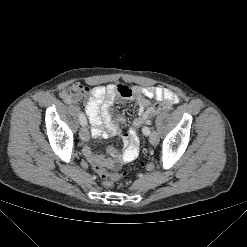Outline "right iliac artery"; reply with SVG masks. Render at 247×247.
Segmentation results:
<instances>
[{
  "label": "right iliac artery",
  "mask_w": 247,
  "mask_h": 247,
  "mask_svg": "<svg viewBox=\"0 0 247 247\" xmlns=\"http://www.w3.org/2000/svg\"><path fill=\"white\" fill-rule=\"evenodd\" d=\"M79 120H80V123H81L82 125H86V117H85L84 113H81V114H80Z\"/></svg>",
  "instance_id": "1"
}]
</instances>
